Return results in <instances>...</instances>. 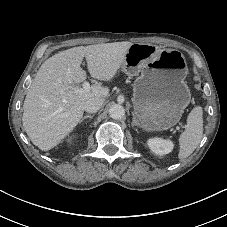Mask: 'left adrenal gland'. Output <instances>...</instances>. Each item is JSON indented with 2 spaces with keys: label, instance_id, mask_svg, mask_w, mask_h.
<instances>
[{
  "label": "left adrenal gland",
  "instance_id": "left-adrenal-gland-1",
  "mask_svg": "<svg viewBox=\"0 0 227 227\" xmlns=\"http://www.w3.org/2000/svg\"><path fill=\"white\" fill-rule=\"evenodd\" d=\"M132 115H133V126H138L139 124H138V122H137V119H136L135 114L132 113Z\"/></svg>",
  "mask_w": 227,
  "mask_h": 227
}]
</instances>
